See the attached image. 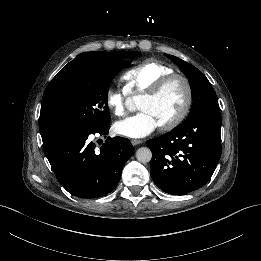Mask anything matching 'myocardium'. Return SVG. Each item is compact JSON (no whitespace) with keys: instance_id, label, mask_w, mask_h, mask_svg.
<instances>
[{"instance_id":"1","label":"myocardium","mask_w":261,"mask_h":261,"mask_svg":"<svg viewBox=\"0 0 261 261\" xmlns=\"http://www.w3.org/2000/svg\"><path fill=\"white\" fill-rule=\"evenodd\" d=\"M176 81H181L183 83L186 97L180 112L168 122L160 125V128L165 131L171 130L178 126L186 118L191 109L193 102V89L189 79L186 76L175 72L165 75L152 87L148 93H145L142 96V98L146 99H155L160 96L167 87Z\"/></svg>"}]
</instances>
